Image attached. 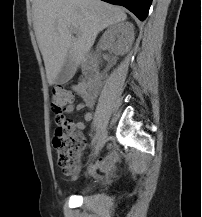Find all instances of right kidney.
<instances>
[{"instance_id": "1", "label": "right kidney", "mask_w": 202, "mask_h": 217, "mask_svg": "<svg viewBox=\"0 0 202 217\" xmlns=\"http://www.w3.org/2000/svg\"><path fill=\"white\" fill-rule=\"evenodd\" d=\"M134 41V27L131 23L122 22L111 25L102 35L98 51L103 45L110 46L115 55H124Z\"/></svg>"}]
</instances>
